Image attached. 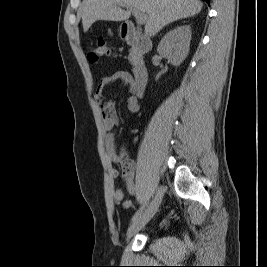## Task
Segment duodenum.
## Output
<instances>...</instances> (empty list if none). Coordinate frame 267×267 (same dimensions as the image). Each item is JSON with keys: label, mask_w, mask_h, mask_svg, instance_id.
Wrapping results in <instances>:
<instances>
[{"label": "duodenum", "mask_w": 267, "mask_h": 267, "mask_svg": "<svg viewBox=\"0 0 267 267\" xmlns=\"http://www.w3.org/2000/svg\"><path fill=\"white\" fill-rule=\"evenodd\" d=\"M122 35L126 43L135 47L139 53H147L152 49V42L141 35L131 22L124 24ZM133 77V92L136 96L140 97L143 95L148 81V70L144 63L138 62L135 64L133 67Z\"/></svg>", "instance_id": "410a0bca"}]
</instances>
